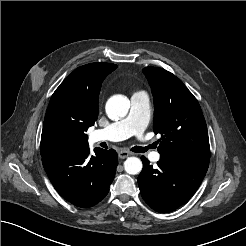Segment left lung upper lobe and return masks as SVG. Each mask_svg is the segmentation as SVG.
I'll use <instances>...</instances> for the list:
<instances>
[{"label": "left lung upper lobe", "mask_w": 246, "mask_h": 246, "mask_svg": "<svg viewBox=\"0 0 246 246\" xmlns=\"http://www.w3.org/2000/svg\"><path fill=\"white\" fill-rule=\"evenodd\" d=\"M154 97V132L162 135L160 155L210 159L207 126L193 94L172 73L158 67L143 70Z\"/></svg>", "instance_id": "obj_1"}]
</instances>
